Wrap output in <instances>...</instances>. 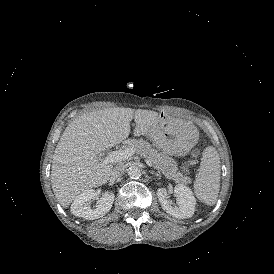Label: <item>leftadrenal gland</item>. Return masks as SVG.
Listing matches in <instances>:
<instances>
[{"mask_svg": "<svg viewBox=\"0 0 274 274\" xmlns=\"http://www.w3.org/2000/svg\"><path fill=\"white\" fill-rule=\"evenodd\" d=\"M149 173L150 174H153V175H155V176H157V177H161V175L159 174V173H156L155 171H149Z\"/></svg>", "mask_w": 274, "mask_h": 274, "instance_id": "left-adrenal-gland-1", "label": "left adrenal gland"}]
</instances>
